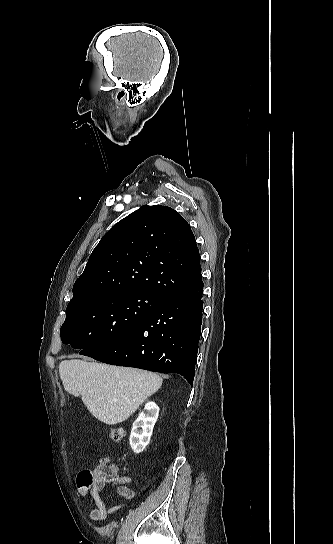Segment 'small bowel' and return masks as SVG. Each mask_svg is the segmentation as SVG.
Here are the masks:
<instances>
[{
    "label": "small bowel",
    "mask_w": 333,
    "mask_h": 544,
    "mask_svg": "<svg viewBox=\"0 0 333 544\" xmlns=\"http://www.w3.org/2000/svg\"><path fill=\"white\" fill-rule=\"evenodd\" d=\"M128 482V477L117 476V480L115 481L117 484L116 494L127 500H131L135 497V493L128 487ZM104 486L105 484H98L91 487L79 485L77 489V497L81 502L83 499L90 498L93 503V508L90 511V517L93 521H103L109 515L115 514L123 508V505H116L109 508L106 506L101 496Z\"/></svg>",
    "instance_id": "obj_1"
}]
</instances>
